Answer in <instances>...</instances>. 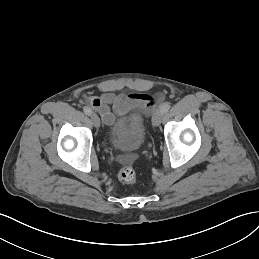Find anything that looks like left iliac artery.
I'll return each mask as SVG.
<instances>
[{
	"mask_svg": "<svg viewBox=\"0 0 259 259\" xmlns=\"http://www.w3.org/2000/svg\"><path fill=\"white\" fill-rule=\"evenodd\" d=\"M170 109V104L166 103L164 105L161 106L160 111L165 114L166 112H168V110Z\"/></svg>",
	"mask_w": 259,
	"mask_h": 259,
	"instance_id": "44dca946",
	"label": "left iliac artery"
}]
</instances>
